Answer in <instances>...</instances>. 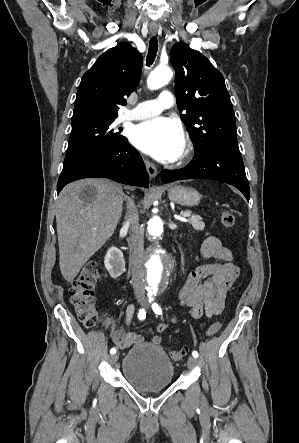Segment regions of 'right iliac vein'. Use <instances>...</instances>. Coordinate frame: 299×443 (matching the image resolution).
Returning <instances> with one entry per match:
<instances>
[{"label": "right iliac vein", "mask_w": 299, "mask_h": 443, "mask_svg": "<svg viewBox=\"0 0 299 443\" xmlns=\"http://www.w3.org/2000/svg\"><path fill=\"white\" fill-rule=\"evenodd\" d=\"M117 359H118V354H114L110 357V362L114 364L116 363Z\"/></svg>", "instance_id": "obj_1"}]
</instances>
